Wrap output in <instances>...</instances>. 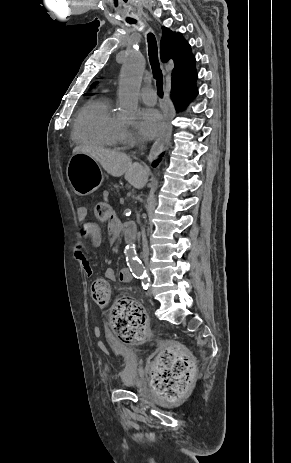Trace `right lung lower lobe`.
<instances>
[{
    "mask_svg": "<svg viewBox=\"0 0 291 463\" xmlns=\"http://www.w3.org/2000/svg\"><path fill=\"white\" fill-rule=\"evenodd\" d=\"M196 78L197 74L195 73L189 83L185 85L172 87V98L177 111L183 110L189 104V102L198 94V91L195 87ZM161 156H163V154ZM159 161V159L157 161H154L152 166L156 167Z\"/></svg>",
    "mask_w": 291,
    "mask_h": 463,
    "instance_id": "1",
    "label": "right lung lower lobe"
}]
</instances>
